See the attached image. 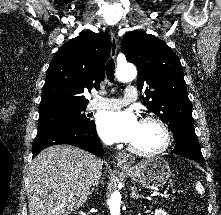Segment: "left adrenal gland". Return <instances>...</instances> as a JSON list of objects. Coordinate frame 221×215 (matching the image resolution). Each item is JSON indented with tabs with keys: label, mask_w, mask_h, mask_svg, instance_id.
I'll return each mask as SVG.
<instances>
[{
	"label": "left adrenal gland",
	"mask_w": 221,
	"mask_h": 215,
	"mask_svg": "<svg viewBox=\"0 0 221 215\" xmlns=\"http://www.w3.org/2000/svg\"><path fill=\"white\" fill-rule=\"evenodd\" d=\"M131 190H132V193L130 194L131 198H141L142 197L141 195L136 194V187L135 186H133L131 188Z\"/></svg>",
	"instance_id": "1"
}]
</instances>
